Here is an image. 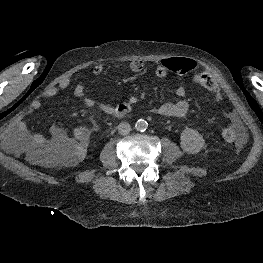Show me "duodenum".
Returning a JSON list of instances; mask_svg holds the SVG:
<instances>
[{
    "mask_svg": "<svg viewBox=\"0 0 263 263\" xmlns=\"http://www.w3.org/2000/svg\"><path fill=\"white\" fill-rule=\"evenodd\" d=\"M130 110L131 108L129 105L121 104L112 112V114L115 117L122 118L125 117L130 112Z\"/></svg>",
    "mask_w": 263,
    "mask_h": 263,
    "instance_id": "410a0bca",
    "label": "duodenum"
}]
</instances>
